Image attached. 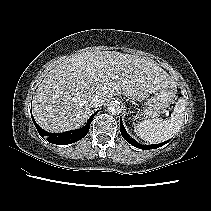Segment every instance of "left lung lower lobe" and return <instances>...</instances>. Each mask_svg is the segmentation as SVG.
I'll return each mask as SVG.
<instances>
[{
    "instance_id": "0a47b994",
    "label": "left lung lower lobe",
    "mask_w": 211,
    "mask_h": 211,
    "mask_svg": "<svg viewBox=\"0 0 211 211\" xmlns=\"http://www.w3.org/2000/svg\"><path fill=\"white\" fill-rule=\"evenodd\" d=\"M120 131H121V134L123 136V138L128 142L130 143L131 145H133L134 147H137V148H140V149H144V150H147V149H155V148H158V147H161L163 146L164 144H166L168 141L164 142V143H161V144H158V145H142L140 143H138L137 141H135L126 131L123 123H122V120L120 118Z\"/></svg>"
}]
</instances>
